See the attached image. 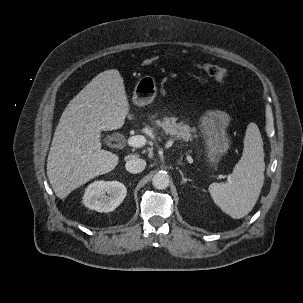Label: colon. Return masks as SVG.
I'll return each mask as SVG.
<instances>
[{
    "mask_svg": "<svg viewBox=\"0 0 303 303\" xmlns=\"http://www.w3.org/2000/svg\"><path fill=\"white\" fill-rule=\"evenodd\" d=\"M156 58H148L143 61V66H151L155 62ZM199 69L207 74L209 77L215 79L219 83H225L228 76L226 70L223 68L209 63L199 64Z\"/></svg>",
    "mask_w": 303,
    "mask_h": 303,
    "instance_id": "colon-1",
    "label": "colon"
}]
</instances>
